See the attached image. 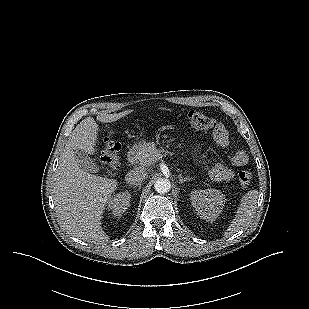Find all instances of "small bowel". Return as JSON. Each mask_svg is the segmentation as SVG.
<instances>
[{"instance_id":"small-bowel-1","label":"small bowel","mask_w":309,"mask_h":309,"mask_svg":"<svg viewBox=\"0 0 309 309\" xmlns=\"http://www.w3.org/2000/svg\"><path fill=\"white\" fill-rule=\"evenodd\" d=\"M215 142L222 148L229 145V133L223 124H219L213 133ZM248 155L245 151L239 150L232 156V163L236 167H242L248 163ZM210 178L216 182L230 181L234 178V171L222 163L216 164L209 172Z\"/></svg>"}]
</instances>
